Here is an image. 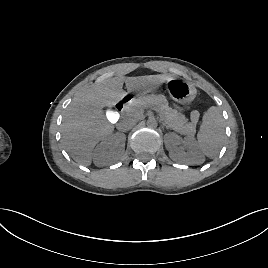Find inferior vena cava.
Here are the masks:
<instances>
[{"label":"inferior vena cava","instance_id":"inferior-vena-cava-1","mask_svg":"<svg viewBox=\"0 0 268 268\" xmlns=\"http://www.w3.org/2000/svg\"><path fill=\"white\" fill-rule=\"evenodd\" d=\"M137 122V119L133 116H126L118 123L117 128L120 131H128L130 130Z\"/></svg>","mask_w":268,"mask_h":268}]
</instances>
